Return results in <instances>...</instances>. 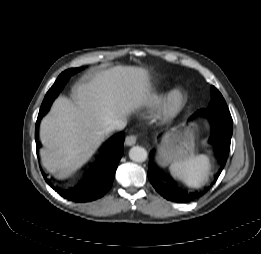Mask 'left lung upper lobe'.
Masks as SVG:
<instances>
[{"label":"left lung upper lobe","mask_w":261,"mask_h":254,"mask_svg":"<svg viewBox=\"0 0 261 254\" xmlns=\"http://www.w3.org/2000/svg\"><path fill=\"white\" fill-rule=\"evenodd\" d=\"M212 99L207 109L197 111L193 116L204 114L206 116L217 117L221 119H231L227 104L221 93L214 87H211Z\"/></svg>","instance_id":"1"}]
</instances>
